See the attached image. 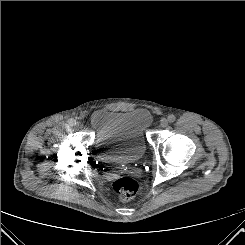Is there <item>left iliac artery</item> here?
I'll use <instances>...</instances> for the list:
<instances>
[{"mask_svg": "<svg viewBox=\"0 0 245 245\" xmlns=\"http://www.w3.org/2000/svg\"><path fill=\"white\" fill-rule=\"evenodd\" d=\"M175 119H176V117L173 114H171V115L168 116V121L170 123H173L175 121Z\"/></svg>", "mask_w": 245, "mask_h": 245, "instance_id": "44dca946", "label": "left iliac artery"}]
</instances>
